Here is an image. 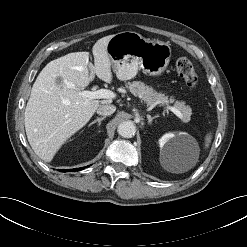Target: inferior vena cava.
<instances>
[{
	"mask_svg": "<svg viewBox=\"0 0 247 247\" xmlns=\"http://www.w3.org/2000/svg\"><path fill=\"white\" fill-rule=\"evenodd\" d=\"M115 110H116V107L114 105L103 104L97 108V113L99 115L109 116V115L113 114L115 112Z\"/></svg>",
	"mask_w": 247,
	"mask_h": 247,
	"instance_id": "obj_1",
	"label": "inferior vena cava"
}]
</instances>
